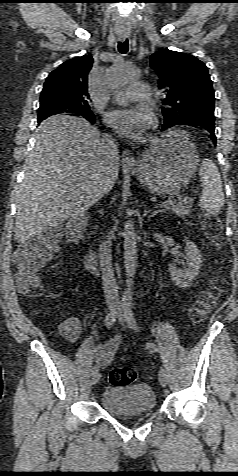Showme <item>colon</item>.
I'll list each match as a JSON object with an SVG mask.
<instances>
[{
	"label": "colon",
	"mask_w": 238,
	"mask_h": 476,
	"mask_svg": "<svg viewBox=\"0 0 238 476\" xmlns=\"http://www.w3.org/2000/svg\"><path fill=\"white\" fill-rule=\"evenodd\" d=\"M204 233L212 241H217L221 234V221L213 215L202 218ZM61 235L59 228L50 229L39 239L24 242L14 253L16 282L21 293H27L39 283L38 272L54 256ZM223 290V281L218 279L214 286L204 291L189 311L193 323L202 322L208 312L216 305ZM138 372L132 367H120L110 371L109 382L112 385H128L137 380Z\"/></svg>",
	"instance_id": "5ec220e1"
}]
</instances>
